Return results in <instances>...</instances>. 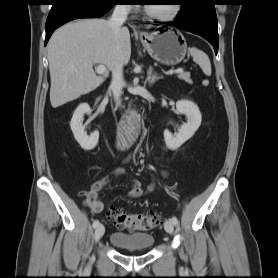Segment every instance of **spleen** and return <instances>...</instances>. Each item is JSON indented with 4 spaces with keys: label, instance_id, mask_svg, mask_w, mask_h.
Returning <instances> with one entry per match:
<instances>
[{
    "label": "spleen",
    "instance_id": "spleen-1",
    "mask_svg": "<svg viewBox=\"0 0 278 278\" xmlns=\"http://www.w3.org/2000/svg\"><path fill=\"white\" fill-rule=\"evenodd\" d=\"M191 56L193 60L201 67L204 74L207 76L211 75V63L209 57L203 51L192 47L190 49Z\"/></svg>",
    "mask_w": 278,
    "mask_h": 278
}]
</instances>
